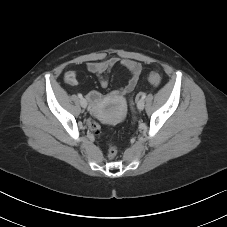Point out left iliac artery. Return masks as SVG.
<instances>
[{
  "label": "left iliac artery",
  "mask_w": 227,
  "mask_h": 227,
  "mask_svg": "<svg viewBox=\"0 0 227 227\" xmlns=\"http://www.w3.org/2000/svg\"><path fill=\"white\" fill-rule=\"evenodd\" d=\"M146 97V93H142L141 98L144 99Z\"/></svg>",
  "instance_id": "left-iliac-artery-1"
}]
</instances>
